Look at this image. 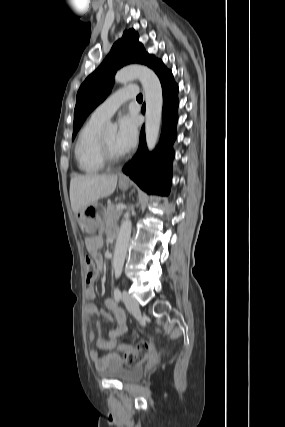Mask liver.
I'll return each mask as SVG.
<instances>
[{
	"mask_svg": "<svg viewBox=\"0 0 285 427\" xmlns=\"http://www.w3.org/2000/svg\"><path fill=\"white\" fill-rule=\"evenodd\" d=\"M117 175H77L70 182V201L75 214L99 199L111 195L117 185Z\"/></svg>",
	"mask_w": 285,
	"mask_h": 427,
	"instance_id": "obj_1",
	"label": "liver"
}]
</instances>
